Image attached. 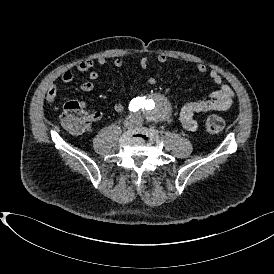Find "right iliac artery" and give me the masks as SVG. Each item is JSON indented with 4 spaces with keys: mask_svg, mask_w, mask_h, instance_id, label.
Here are the masks:
<instances>
[{
    "mask_svg": "<svg viewBox=\"0 0 274 274\" xmlns=\"http://www.w3.org/2000/svg\"><path fill=\"white\" fill-rule=\"evenodd\" d=\"M143 106V101H142V98H134L130 104H129V110L131 112H135V111H138L140 108H142Z\"/></svg>",
    "mask_w": 274,
    "mask_h": 274,
    "instance_id": "obj_1",
    "label": "right iliac artery"
}]
</instances>
